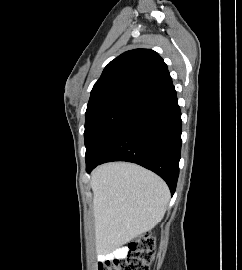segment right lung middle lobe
Segmentation results:
<instances>
[{"label":"right lung middle lobe","instance_id":"dd1d6c3e","mask_svg":"<svg viewBox=\"0 0 242 270\" xmlns=\"http://www.w3.org/2000/svg\"><path fill=\"white\" fill-rule=\"evenodd\" d=\"M136 105L132 102L118 101L86 111L84 132L86 162L96 156Z\"/></svg>","mask_w":242,"mask_h":270}]
</instances>
